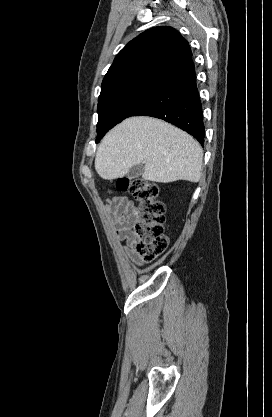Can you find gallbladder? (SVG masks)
Returning a JSON list of instances; mask_svg holds the SVG:
<instances>
[{
    "instance_id": "obj_1",
    "label": "gallbladder",
    "mask_w": 272,
    "mask_h": 417,
    "mask_svg": "<svg viewBox=\"0 0 272 417\" xmlns=\"http://www.w3.org/2000/svg\"><path fill=\"white\" fill-rule=\"evenodd\" d=\"M143 172H144L143 163L136 164V165H134L130 168V170L127 173V177L129 179H134V178H137V177L141 176L143 174Z\"/></svg>"
}]
</instances>
